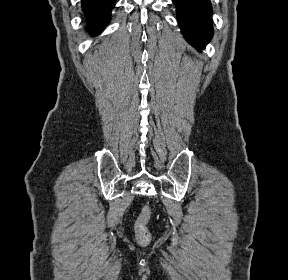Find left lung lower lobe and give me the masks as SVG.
<instances>
[{
    "instance_id": "obj_1",
    "label": "left lung lower lobe",
    "mask_w": 288,
    "mask_h": 280,
    "mask_svg": "<svg viewBox=\"0 0 288 280\" xmlns=\"http://www.w3.org/2000/svg\"><path fill=\"white\" fill-rule=\"evenodd\" d=\"M178 23L186 40L202 49L213 35L210 0H173Z\"/></svg>"
}]
</instances>
